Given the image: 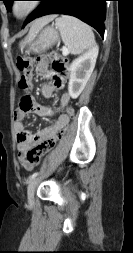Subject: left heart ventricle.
<instances>
[{
  "instance_id": "left-heart-ventricle-1",
  "label": "left heart ventricle",
  "mask_w": 133,
  "mask_h": 253,
  "mask_svg": "<svg viewBox=\"0 0 133 253\" xmlns=\"http://www.w3.org/2000/svg\"><path fill=\"white\" fill-rule=\"evenodd\" d=\"M28 7V2L22 1L18 3L17 10L18 12H23Z\"/></svg>"
}]
</instances>
